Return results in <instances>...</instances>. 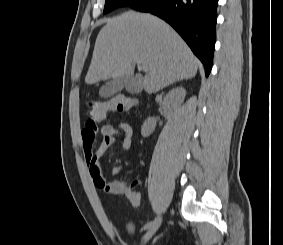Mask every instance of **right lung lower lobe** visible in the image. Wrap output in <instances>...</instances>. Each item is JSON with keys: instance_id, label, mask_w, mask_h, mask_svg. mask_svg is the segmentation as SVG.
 I'll return each mask as SVG.
<instances>
[{"instance_id": "obj_1", "label": "right lung lower lobe", "mask_w": 283, "mask_h": 245, "mask_svg": "<svg viewBox=\"0 0 283 245\" xmlns=\"http://www.w3.org/2000/svg\"><path fill=\"white\" fill-rule=\"evenodd\" d=\"M218 0H140L131 8L168 22L186 41L209 75L215 46Z\"/></svg>"}]
</instances>
